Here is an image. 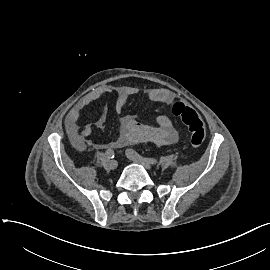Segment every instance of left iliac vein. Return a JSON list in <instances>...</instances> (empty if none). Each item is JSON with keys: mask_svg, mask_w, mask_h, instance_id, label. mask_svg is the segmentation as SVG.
I'll return each mask as SVG.
<instances>
[{"mask_svg": "<svg viewBox=\"0 0 270 270\" xmlns=\"http://www.w3.org/2000/svg\"><path fill=\"white\" fill-rule=\"evenodd\" d=\"M126 155H127V157H128L131 161H133L134 163L141 164V165L144 166L146 169H150V168H151L150 163L147 162L146 160L135 158V157L131 156L129 153H127V152H126Z\"/></svg>", "mask_w": 270, "mask_h": 270, "instance_id": "1", "label": "left iliac vein"}]
</instances>
